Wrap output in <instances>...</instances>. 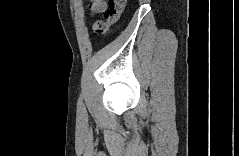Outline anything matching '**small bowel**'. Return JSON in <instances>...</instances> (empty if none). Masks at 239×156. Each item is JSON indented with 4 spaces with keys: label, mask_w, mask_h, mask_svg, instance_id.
Returning a JSON list of instances; mask_svg holds the SVG:
<instances>
[{
    "label": "small bowel",
    "mask_w": 239,
    "mask_h": 156,
    "mask_svg": "<svg viewBox=\"0 0 239 156\" xmlns=\"http://www.w3.org/2000/svg\"><path fill=\"white\" fill-rule=\"evenodd\" d=\"M106 8L107 3L104 0H94L89 4L90 13L93 15L104 12Z\"/></svg>",
    "instance_id": "1"
}]
</instances>
